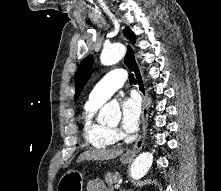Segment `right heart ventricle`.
<instances>
[{
	"label": "right heart ventricle",
	"instance_id": "e07e8e85",
	"mask_svg": "<svg viewBox=\"0 0 221 191\" xmlns=\"http://www.w3.org/2000/svg\"><path fill=\"white\" fill-rule=\"evenodd\" d=\"M102 103H93L86 101L83 107V136L85 142L97 149L108 148L116 142L114 131L96 120V113Z\"/></svg>",
	"mask_w": 221,
	"mask_h": 191
}]
</instances>
